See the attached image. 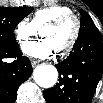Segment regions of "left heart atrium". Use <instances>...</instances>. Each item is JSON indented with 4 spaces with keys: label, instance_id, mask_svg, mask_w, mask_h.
Instances as JSON below:
<instances>
[{
    "label": "left heart atrium",
    "instance_id": "39dd6f15",
    "mask_svg": "<svg viewBox=\"0 0 103 103\" xmlns=\"http://www.w3.org/2000/svg\"><path fill=\"white\" fill-rule=\"evenodd\" d=\"M57 49L49 38L30 41L23 46V52L31 57L45 59L53 56Z\"/></svg>",
    "mask_w": 103,
    "mask_h": 103
}]
</instances>
